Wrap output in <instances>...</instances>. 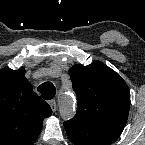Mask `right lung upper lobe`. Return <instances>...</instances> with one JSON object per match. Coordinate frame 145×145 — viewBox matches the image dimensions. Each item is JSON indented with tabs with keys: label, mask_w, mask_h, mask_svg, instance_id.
Returning a JSON list of instances; mask_svg holds the SVG:
<instances>
[{
	"label": "right lung upper lobe",
	"mask_w": 145,
	"mask_h": 145,
	"mask_svg": "<svg viewBox=\"0 0 145 145\" xmlns=\"http://www.w3.org/2000/svg\"><path fill=\"white\" fill-rule=\"evenodd\" d=\"M25 69L0 70V145H32L52 110L25 77Z\"/></svg>",
	"instance_id": "1"
}]
</instances>
